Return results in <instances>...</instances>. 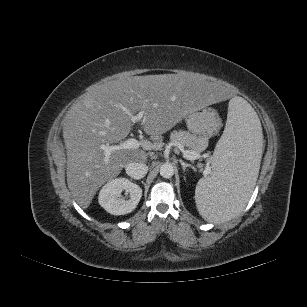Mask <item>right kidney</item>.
Instances as JSON below:
<instances>
[{"label": "right kidney", "instance_id": "obj_1", "mask_svg": "<svg viewBox=\"0 0 307 307\" xmlns=\"http://www.w3.org/2000/svg\"><path fill=\"white\" fill-rule=\"evenodd\" d=\"M122 191L129 199L121 196ZM142 197V189L126 178H117L107 182L99 193V204L110 214L124 215L132 212Z\"/></svg>", "mask_w": 307, "mask_h": 307}]
</instances>
